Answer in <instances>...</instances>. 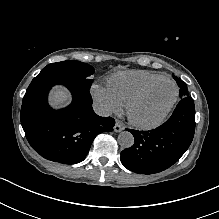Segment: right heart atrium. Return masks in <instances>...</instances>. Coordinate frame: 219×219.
<instances>
[{"label":"right heart atrium","mask_w":219,"mask_h":219,"mask_svg":"<svg viewBox=\"0 0 219 219\" xmlns=\"http://www.w3.org/2000/svg\"><path fill=\"white\" fill-rule=\"evenodd\" d=\"M92 96L102 114L111 115L121 112L122 106L112 96L110 91L101 85H94L92 87Z\"/></svg>","instance_id":"obj_1"}]
</instances>
